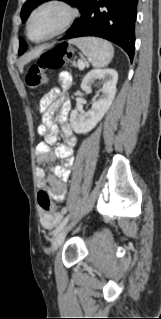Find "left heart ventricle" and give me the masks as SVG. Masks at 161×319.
Returning <instances> with one entry per match:
<instances>
[{
	"label": "left heart ventricle",
	"mask_w": 161,
	"mask_h": 319,
	"mask_svg": "<svg viewBox=\"0 0 161 319\" xmlns=\"http://www.w3.org/2000/svg\"><path fill=\"white\" fill-rule=\"evenodd\" d=\"M63 11L50 7L40 12L32 21L30 34L33 38H42L50 34L60 23Z\"/></svg>",
	"instance_id": "obj_1"
}]
</instances>
